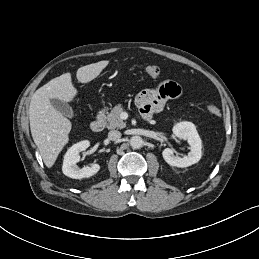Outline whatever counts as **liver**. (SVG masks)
Listing matches in <instances>:
<instances>
[{
    "mask_svg": "<svg viewBox=\"0 0 259 259\" xmlns=\"http://www.w3.org/2000/svg\"><path fill=\"white\" fill-rule=\"evenodd\" d=\"M108 64L109 61L104 60L83 66L77 70L76 77L80 83H88ZM77 93L72 84L71 74L68 72L40 87L31 98L29 107L31 134L48 168L54 165L59 153L68 143L72 128L70 120L57 111L50 100L69 102Z\"/></svg>",
    "mask_w": 259,
    "mask_h": 259,
    "instance_id": "6515ba94",
    "label": "liver"
}]
</instances>
